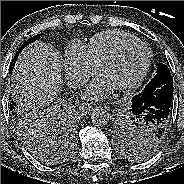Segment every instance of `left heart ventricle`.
Returning <instances> with one entry per match:
<instances>
[{"mask_svg": "<svg viewBox=\"0 0 184 184\" xmlns=\"http://www.w3.org/2000/svg\"><path fill=\"white\" fill-rule=\"evenodd\" d=\"M147 59V50L141 46L127 49L102 75L117 89L131 82L141 71Z\"/></svg>", "mask_w": 184, "mask_h": 184, "instance_id": "1", "label": "left heart ventricle"}]
</instances>
